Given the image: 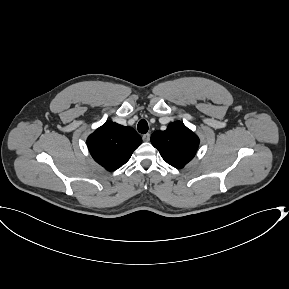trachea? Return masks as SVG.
Returning a JSON list of instances; mask_svg holds the SVG:
<instances>
[{
    "mask_svg": "<svg viewBox=\"0 0 289 289\" xmlns=\"http://www.w3.org/2000/svg\"><path fill=\"white\" fill-rule=\"evenodd\" d=\"M137 129L139 133L145 134L148 132V123L146 120L142 119L139 121L137 125Z\"/></svg>",
    "mask_w": 289,
    "mask_h": 289,
    "instance_id": "trachea-1",
    "label": "trachea"
}]
</instances>
